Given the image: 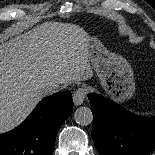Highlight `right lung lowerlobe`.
Instances as JSON below:
<instances>
[{"mask_svg":"<svg viewBox=\"0 0 155 155\" xmlns=\"http://www.w3.org/2000/svg\"><path fill=\"white\" fill-rule=\"evenodd\" d=\"M72 111L70 91L44 98L21 125L0 134V155H51L58 130Z\"/></svg>","mask_w":155,"mask_h":155,"instance_id":"98d812e1","label":"right lung lower lobe"}]
</instances>
